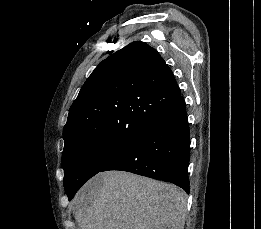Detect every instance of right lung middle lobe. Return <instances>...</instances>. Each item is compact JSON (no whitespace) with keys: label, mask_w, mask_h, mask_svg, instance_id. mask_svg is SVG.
<instances>
[{"label":"right lung middle lobe","mask_w":261,"mask_h":229,"mask_svg":"<svg viewBox=\"0 0 261 229\" xmlns=\"http://www.w3.org/2000/svg\"><path fill=\"white\" fill-rule=\"evenodd\" d=\"M129 145L130 143L86 139L64 146V187L69 200L87 180L111 163Z\"/></svg>","instance_id":"right-lung-middle-lobe-1"}]
</instances>
